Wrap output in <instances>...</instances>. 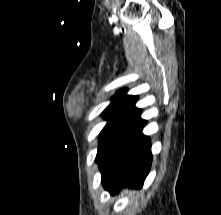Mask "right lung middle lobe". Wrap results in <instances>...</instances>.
<instances>
[{
	"instance_id": "right-lung-middle-lobe-1",
	"label": "right lung middle lobe",
	"mask_w": 221,
	"mask_h": 215,
	"mask_svg": "<svg viewBox=\"0 0 221 215\" xmlns=\"http://www.w3.org/2000/svg\"><path fill=\"white\" fill-rule=\"evenodd\" d=\"M139 111L117 105H109L102 113L107 119V124L99 134V148L96 161L103 154L106 146L113 136L130 120H132Z\"/></svg>"
}]
</instances>
